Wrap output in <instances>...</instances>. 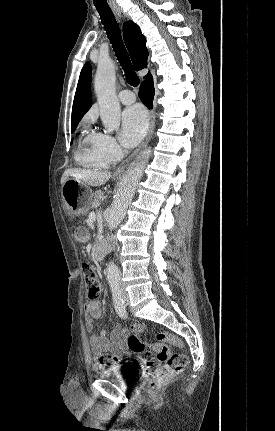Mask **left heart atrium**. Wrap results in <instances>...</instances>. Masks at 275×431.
Wrapping results in <instances>:
<instances>
[{"instance_id": "1", "label": "left heart atrium", "mask_w": 275, "mask_h": 431, "mask_svg": "<svg viewBox=\"0 0 275 431\" xmlns=\"http://www.w3.org/2000/svg\"><path fill=\"white\" fill-rule=\"evenodd\" d=\"M148 127L146 111L138 105L127 108L121 119L120 140L126 147L135 146L144 136Z\"/></svg>"}]
</instances>
